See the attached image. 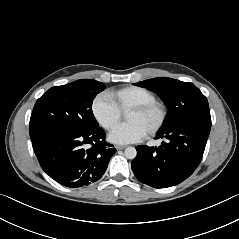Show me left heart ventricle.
Wrapping results in <instances>:
<instances>
[{
  "instance_id": "1",
  "label": "left heart ventricle",
  "mask_w": 239,
  "mask_h": 239,
  "mask_svg": "<svg viewBox=\"0 0 239 239\" xmlns=\"http://www.w3.org/2000/svg\"><path fill=\"white\" fill-rule=\"evenodd\" d=\"M128 122L137 123L148 132L157 121V114L129 112L126 116Z\"/></svg>"
}]
</instances>
